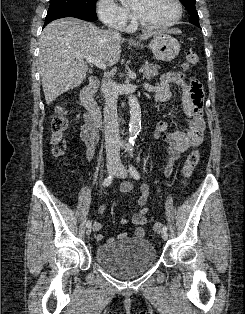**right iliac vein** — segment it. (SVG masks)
Instances as JSON below:
<instances>
[{"label":"right iliac vein","mask_w":245,"mask_h":314,"mask_svg":"<svg viewBox=\"0 0 245 314\" xmlns=\"http://www.w3.org/2000/svg\"><path fill=\"white\" fill-rule=\"evenodd\" d=\"M116 166L117 165L115 162L108 163V165H107L108 174H110V175L113 174L115 169H116ZM86 234H87V236H89L91 234V227H87Z\"/></svg>","instance_id":"63e3f726"}]
</instances>
